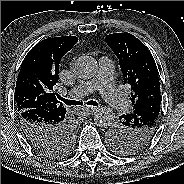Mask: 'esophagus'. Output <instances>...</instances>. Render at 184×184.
<instances>
[{
    "label": "esophagus",
    "instance_id": "esophagus-1",
    "mask_svg": "<svg viewBox=\"0 0 184 184\" xmlns=\"http://www.w3.org/2000/svg\"><path fill=\"white\" fill-rule=\"evenodd\" d=\"M80 111V114H92L95 110H96V107H93V106H87V107H83V108H80L79 109Z\"/></svg>",
    "mask_w": 184,
    "mask_h": 184
}]
</instances>
